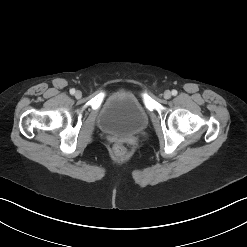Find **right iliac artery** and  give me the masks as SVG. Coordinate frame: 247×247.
Masks as SVG:
<instances>
[{"instance_id":"right-iliac-artery-1","label":"right iliac artery","mask_w":247,"mask_h":247,"mask_svg":"<svg viewBox=\"0 0 247 247\" xmlns=\"http://www.w3.org/2000/svg\"><path fill=\"white\" fill-rule=\"evenodd\" d=\"M70 94H72V95L75 94V89H73V88L70 89Z\"/></svg>"}]
</instances>
